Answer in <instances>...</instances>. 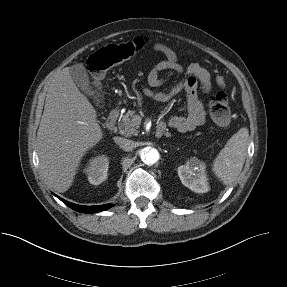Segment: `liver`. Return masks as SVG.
<instances>
[{"label": "liver", "instance_id": "obj_1", "mask_svg": "<svg viewBox=\"0 0 287 287\" xmlns=\"http://www.w3.org/2000/svg\"><path fill=\"white\" fill-rule=\"evenodd\" d=\"M102 138L96 110L77 88L69 67L63 68L49 84L37 131L39 165L50 187L67 191L82 157Z\"/></svg>", "mask_w": 287, "mask_h": 287}]
</instances>
